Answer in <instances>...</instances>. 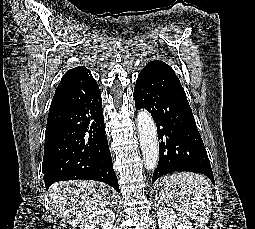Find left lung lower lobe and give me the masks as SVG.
<instances>
[{
  "label": "left lung lower lobe",
  "mask_w": 255,
  "mask_h": 229,
  "mask_svg": "<svg viewBox=\"0 0 255 229\" xmlns=\"http://www.w3.org/2000/svg\"><path fill=\"white\" fill-rule=\"evenodd\" d=\"M136 109L145 108L156 122L160 158L152 182L175 171L208 176L213 172L182 85L165 62H149L134 88Z\"/></svg>",
  "instance_id": "obj_1"
}]
</instances>
